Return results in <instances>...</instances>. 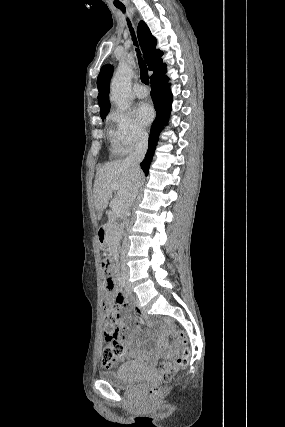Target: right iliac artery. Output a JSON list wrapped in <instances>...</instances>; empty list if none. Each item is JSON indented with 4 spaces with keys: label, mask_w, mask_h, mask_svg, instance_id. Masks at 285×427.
Instances as JSON below:
<instances>
[{
    "label": "right iliac artery",
    "mask_w": 285,
    "mask_h": 427,
    "mask_svg": "<svg viewBox=\"0 0 285 427\" xmlns=\"http://www.w3.org/2000/svg\"><path fill=\"white\" fill-rule=\"evenodd\" d=\"M121 285H122V287H124V286H125V281H124V279H122V281H121Z\"/></svg>",
    "instance_id": "1"
}]
</instances>
